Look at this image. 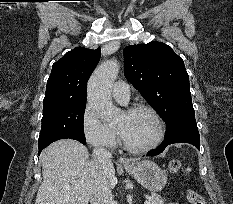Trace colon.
<instances>
[{"label": "colon", "instance_id": "1", "mask_svg": "<svg viewBox=\"0 0 233 204\" xmlns=\"http://www.w3.org/2000/svg\"><path fill=\"white\" fill-rule=\"evenodd\" d=\"M169 170L173 174L189 171L180 160H172L169 163ZM186 195L190 204H207L204 198L192 189H188Z\"/></svg>", "mask_w": 233, "mask_h": 204}]
</instances>
